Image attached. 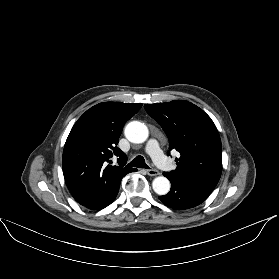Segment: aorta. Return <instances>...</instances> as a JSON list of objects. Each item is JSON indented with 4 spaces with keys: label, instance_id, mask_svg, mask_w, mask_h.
Listing matches in <instances>:
<instances>
[{
    "label": "aorta",
    "instance_id": "1",
    "mask_svg": "<svg viewBox=\"0 0 279 279\" xmlns=\"http://www.w3.org/2000/svg\"><path fill=\"white\" fill-rule=\"evenodd\" d=\"M125 136L132 143H143L149 136V131L144 123L132 121L125 127ZM170 181L164 177H156L152 182V187L158 195H165L170 190Z\"/></svg>",
    "mask_w": 279,
    "mask_h": 279
}]
</instances>
